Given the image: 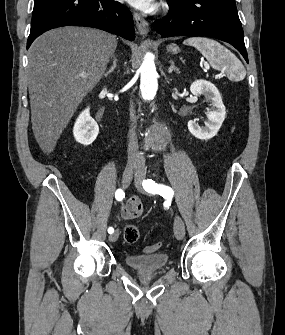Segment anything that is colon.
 <instances>
[{
	"mask_svg": "<svg viewBox=\"0 0 285 335\" xmlns=\"http://www.w3.org/2000/svg\"><path fill=\"white\" fill-rule=\"evenodd\" d=\"M123 237L127 243H135L139 239V229L135 225H127L124 228ZM162 246L161 242L147 246L144 251L151 253L157 251Z\"/></svg>",
	"mask_w": 285,
	"mask_h": 335,
	"instance_id": "obj_1",
	"label": "colon"
}]
</instances>
